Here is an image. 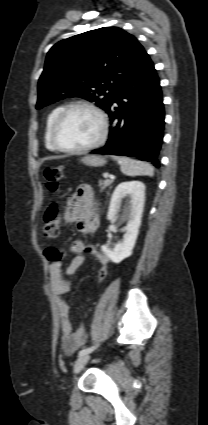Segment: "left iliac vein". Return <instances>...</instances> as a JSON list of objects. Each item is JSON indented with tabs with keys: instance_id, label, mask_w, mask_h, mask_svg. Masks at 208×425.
<instances>
[{
	"instance_id": "left-iliac-vein-1",
	"label": "left iliac vein",
	"mask_w": 208,
	"mask_h": 425,
	"mask_svg": "<svg viewBox=\"0 0 208 425\" xmlns=\"http://www.w3.org/2000/svg\"><path fill=\"white\" fill-rule=\"evenodd\" d=\"M89 358H90L89 354L79 356L74 363V372L75 373L80 372L82 370V368L88 362Z\"/></svg>"
}]
</instances>
